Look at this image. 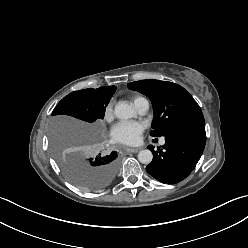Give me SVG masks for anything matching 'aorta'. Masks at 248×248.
<instances>
[{"label": "aorta", "mask_w": 248, "mask_h": 248, "mask_svg": "<svg viewBox=\"0 0 248 248\" xmlns=\"http://www.w3.org/2000/svg\"><path fill=\"white\" fill-rule=\"evenodd\" d=\"M114 114L118 119L126 120L136 115L134 109L126 102H118L114 109ZM153 159V154L150 150H141L138 153V160L142 164H149Z\"/></svg>", "instance_id": "762f6f07"}]
</instances>
